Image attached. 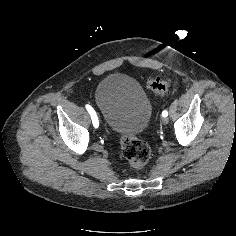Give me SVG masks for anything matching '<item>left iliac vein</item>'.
I'll list each match as a JSON object with an SVG mask.
<instances>
[{"label":"left iliac vein","mask_w":236,"mask_h":236,"mask_svg":"<svg viewBox=\"0 0 236 236\" xmlns=\"http://www.w3.org/2000/svg\"><path fill=\"white\" fill-rule=\"evenodd\" d=\"M161 121H162V123H163L164 125H166L169 120H168L167 117H163Z\"/></svg>","instance_id":"4c4485c4"}]
</instances>
